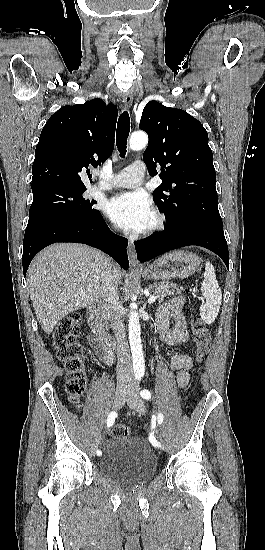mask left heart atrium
<instances>
[{"mask_svg": "<svg viewBox=\"0 0 265 550\" xmlns=\"http://www.w3.org/2000/svg\"><path fill=\"white\" fill-rule=\"evenodd\" d=\"M106 211L120 228L141 232L147 228L152 217L148 198L140 192H128L111 199Z\"/></svg>", "mask_w": 265, "mask_h": 550, "instance_id": "39dd6f15", "label": "left heart atrium"}]
</instances>
